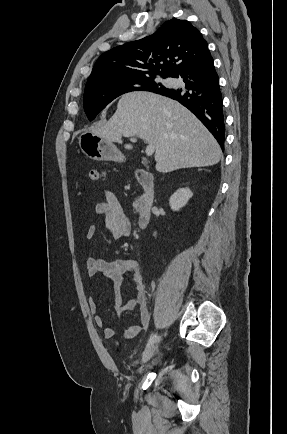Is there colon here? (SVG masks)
Wrapping results in <instances>:
<instances>
[{"instance_id": "obj_1", "label": "colon", "mask_w": 287, "mask_h": 434, "mask_svg": "<svg viewBox=\"0 0 287 434\" xmlns=\"http://www.w3.org/2000/svg\"><path fill=\"white\" fill-rule=\"evenodd\" d=\"M91 181H99L103 176V170L100 168H91L88 172Z\"/></svg>"}]
</instances>
